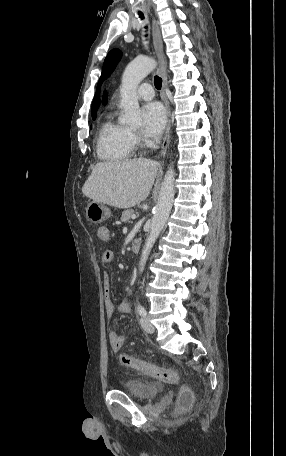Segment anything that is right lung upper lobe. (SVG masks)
I'll return each mask as SVG.
<instances>
[{
	"mask_svg": "<svg viewBox=\"0 0 286 456\" xmlns=\"http://www.w3.org/2000/svg\"><path fill=\"white\" fill-rule=\"evenodd\" d=\"M102 102H103L104 105L107 103V92L106 91L104 92Z\"/></svg>",
	"mask_w": 286,
	"mask_h": 456,
	"instance_id": "obj_1",
	"label": "right lung upper lobe"
}]
</instances>
